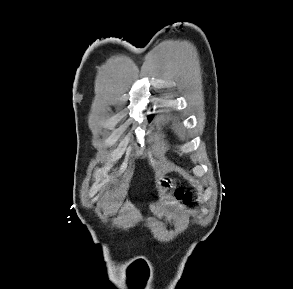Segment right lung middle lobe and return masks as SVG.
Listing matches in <instances>:
<instances>
[{"label": "right lung middle lobe", "instance_id": "obj_1", "mask_svg": "<svg viewBox=\"0 0 293 289\" xmlns=\"http://www.w3.org/2000/svg\"><path fill=\"white\" fill-rule=\"evenodd\" d=\"M149 120H151V116H149Z\"/></svg>", "mask_w": 293, "mask_h": 289}]
</instances>
